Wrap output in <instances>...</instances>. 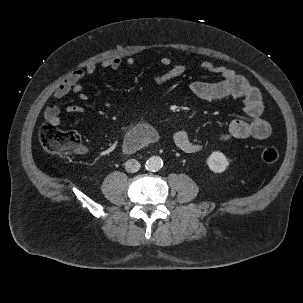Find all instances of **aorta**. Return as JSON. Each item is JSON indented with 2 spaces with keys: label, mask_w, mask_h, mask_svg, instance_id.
Instances as JSON below:
<instances>
[{
  "label": "aorta",
  "mask_w": 303,
  "mask_h": 303,
  "mask_svg": "<svg viewBox=\"0 0 303 303\" xmlns=\"http://www.w3.org/2000/svg\"><path fill=\"white\" fill-rule=\"evenodd\" d=\"M163 166V160L159 156H151L147 161H146V169L152 172H156L160 170Z\"/></svg>",
  "instance_id": "762f6f07"
}]
</instances>
